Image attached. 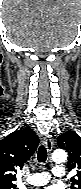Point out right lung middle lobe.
I'll use <instances>...</instances> for the list:
<instances>
[{
    "instance_id": "obj_1",
    "label": "right lung middle lobe",
    "mask_w": 81,
    "mask_h": 189,
    "mask_svg": "<svg viewBox=\"0 0 81 189\" xmlns=\"http://www.w3.org/2000/svg\"><path fill=\"white\" fill-rule=\"evenodd\" d=\"M0 189H17L16 185H4L0 186Z\"/></svg>"
}]
</instances>
